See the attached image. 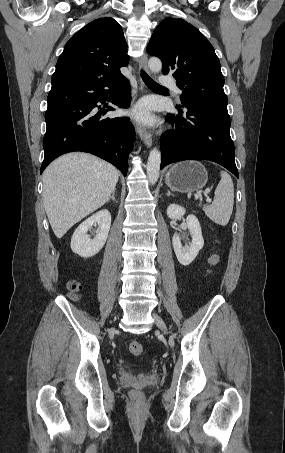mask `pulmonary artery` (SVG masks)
<instances>
[{"label":"pulmonary artery","mask_w":285,"mask_h":453,"mask_svg":"<svg viewBox=\"0 0 285 453\" xmlns=\"http://www.w3.org/2000/svg\"><path fill=\"white\" fill-rule=\"evenodd\" d=\"M161 83L171 87L176 94H180L181 93V90L178 88V86L176 85V83L172 79L167 78V77H161Z\"/></svg>","instance_id":"1"}]
</instances>
